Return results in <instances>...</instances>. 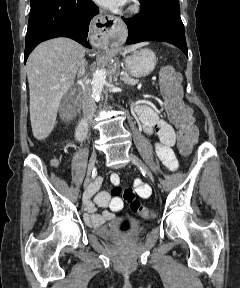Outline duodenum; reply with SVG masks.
I'll use <instances>...</instances> for the list:
<instances>
[{"label": "duodenum", "instance_id": "duodenum-1", "mask_svg": "<svg viewBox=\"0 0 240 288\" xmlns=\"http://www.w3.org/2000/svg\"><path fill=\"white\" fill-rule=\"evenodd\" d=\"M86 133H87L86 121L82 119L78 125L76 136L79 140H83L86 137Z\"/></svg>", "mask_w": 240, "mask_h": 288}]
</instances>
